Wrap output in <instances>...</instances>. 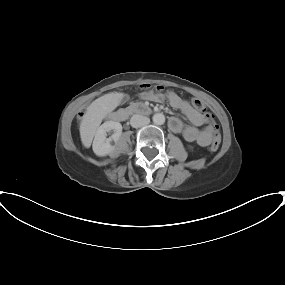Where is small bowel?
<instances>
[{"instance_id": "c3829d8e", "label": "small bowel", "mask_w": 285, "mask_h": 285, "mask_svg": "<svg viewBox=\"0 0 285 285\" xmlns=\"http://www.w3.org/2000/svg\"><path fill=\"white\" fill-rule=\"evenodd\" d=\"M141 97L144 100L155 102H162L165 99L164 95L156 94L153 91L144 92ZM166 98L171 106L180 110L191 123L186 125L180 119L173 117L169 121L170 129L175 133L182 134L188 142H196L200 146H208L211 143V134L208 128H201L206 123L204 116L173 92L167 93Z\"/></svg>"}]
</instances>
